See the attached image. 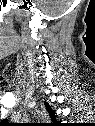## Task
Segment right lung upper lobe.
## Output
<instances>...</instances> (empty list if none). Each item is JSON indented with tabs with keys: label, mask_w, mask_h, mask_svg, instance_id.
<instances>
[{
	"label": "right lung upper lobe",
	"mask_w": 95,
	"mask_h": 126,
	"mask_svg": "<svg viewBox=\"0 0 95 126\" xmlns=\"http://www.w3.org/2000/svg\"><path fill=\"white\" fill-rule=\"evenodd\" d=\"M45 106H46V109H47L51 119L54 120L55 119V112L51 109L50 105L47 102H45Z\"/></svg>",
	"instance_id": "obj_1"
}]
</instances>
